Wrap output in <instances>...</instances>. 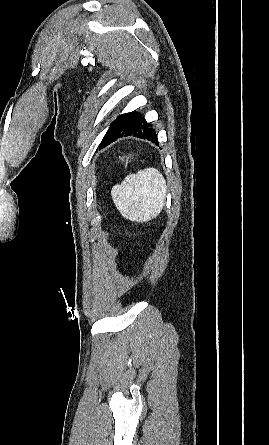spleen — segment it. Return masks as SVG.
<instances>
[{
    "label": "spleen",
    "mask_w": 269,
    "mask_h": 445,
    "mask_svg": "<svg viewBox=\"0 0 269 445\" xmlns=\"http://www.w3.org/2000/svg\"><path fill=\"white\" fill-rule=\"evenodd\" d=\"M166 180L156 168L126 176L112 188L111 196L121 215L135 222L156 218L165 204Z\"/></svg>",
    "instance_id": "obj_1"
}]
</instances>
